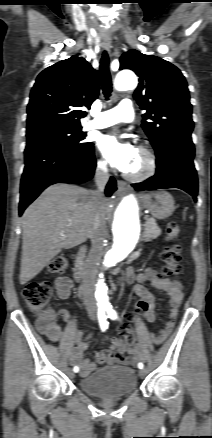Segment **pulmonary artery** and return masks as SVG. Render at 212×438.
<instances>
[{
  "label": "pulmonary artery",
  "instance_id": "pulmonary-artery-1",
  "mask_svg": "<svg viewBox=\"0 0 212 438\" xmlns=\"http://www.w3.org/2000/svg\"><path fill=\"white\" fill-rule=\"evenodd\" d=\"M135 114L134 105L131 100L124 99L118 106L103 111L97 118L87 125L88 129H101L121 122L133 120Z\"/></svg>",
  "mask_w": 212,
  "mask_h": 438
}]
</instances>
